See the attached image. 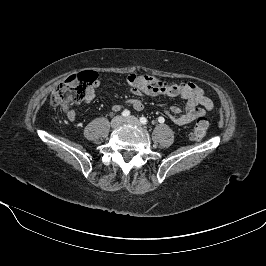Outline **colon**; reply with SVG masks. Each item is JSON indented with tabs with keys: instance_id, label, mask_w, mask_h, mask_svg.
I'll list each match as a JSON object with an SVG mask.
<instances>
[{
	"instance_id": "5ec220e1",
	"label": "colon",
	"mask_w": 266,
	"mask_h": 266,
	"mask_svg": "<svg viewBox=\"0 0 266 266\" xmlns=\"http://www.w3.org/2000/svg\"><path fill=\"white\" fill-rule=\"evenodd\" d=\"M97 80V74L92 71L74 74L62 82L51 95L53 106L68 107L85 100L88 87ZM208 121L200 118L190 132L193 141H200L206 134Z\"/></svg>"
}]
</instances>
